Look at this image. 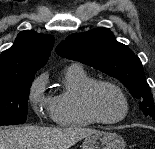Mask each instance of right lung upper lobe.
Listing matches in <instances>:
<instances>
[{"mask_svg": "<svg viewBox=\"0 0 155 149\" xmlns=\"http://www.w3.org/2000/svg\"><path fill=\"white\" fill-rule=\"evenodd\" d=\"M54 42L49 34L20 32L14 45L0 55V78L34 75L46 64Z\"/></svg>", "mask_w": 155, "mask_h": 149, "instance_id": "right-lung-upper-lobe-1", "label": "right lung upper lobe"}]
</instances>
